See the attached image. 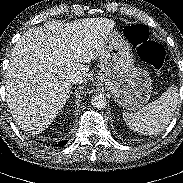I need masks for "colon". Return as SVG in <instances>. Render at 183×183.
I'll return each mask as SVG.
<instances>
[{"mask_svg":"<svg viewBox=\"0 0 183 183\" xmlns=\"http://www.w3.org/2000/svg\"><path fill=\"white\" fill-rule=\"evenodd\" d=\"M124 34L136 47L139 57L156 71H160L165 61V50L150 37L148 28L141 24L129 25L125 28Z\"/></svg>","mask_w":183,"mask_h":183,"instance_id":"colon-1","label":"colon"}]
</instances>
